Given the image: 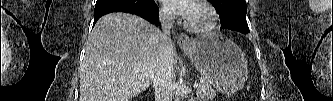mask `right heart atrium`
Returning a JSON list of instances; mask_svg holds the SVG:
<instances>
[{
	"mask_svg": "<svg viewBox=\"0 0 333 101\" xmlns=\"http://www.w3.org/2000/svg\"><path fill=\"white\" fill-rule=\"evenodd\" d=\"M162 16L167 19L169 18L170 14H169V11L165 8L164 10H162Z\"/></svg>",
	"mask_w": 333,
	"mask_h": 101,
	"instance_id": "obj_1",
	"label": "right heart atrium"
}]
</instances>
